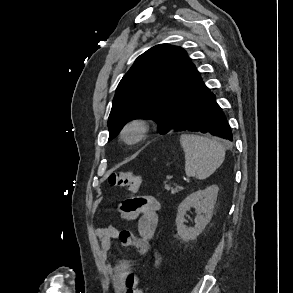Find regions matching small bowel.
Segmentation results:
<instances>
[{"label": "small bowel", "instance_id": "1", "mask_svg": "<svg viewBox=\"0 0 293 293\" xmlns=\"http://www.w3.org/2000/svg\"><path fill=\"white\" fill-rule=\"evenodd\" d=\"M119 211L124 220H138L137 235L131 231H119L112 225L93 228L94 237L99 241L103 253L108 257L113 256L111 241L119 238L122 245L136 249L143 255L152 252L151 240L154 238L159 220V201L149 195L128 194L119 203ZM154 264L158 265V256L153 253ZM132 267L125 259H117L108 265V275L112 279L115 293H125L126 278Z\"/></svg>", "mask_w": 293, "mask_h": 293}]
</instances>
